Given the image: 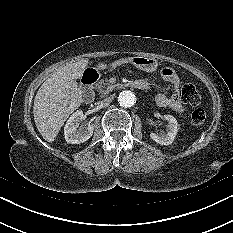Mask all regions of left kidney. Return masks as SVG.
<instances>
[{
    "label": "left kidney",
    "instance_id": "1",
    "mask_svg": "<svg viewBox=\"0 0 233 233\" xmlns=\"http://www.w3.org/2000/svg\"><path fill=\"white\" fill-rule=\"evenodd\" d=\"M163 119L168 122L167 133L156 134L152 132L150 134V138L161 145H170L174 141L177 134L178 123L175 117L172 115H164Z\"/></svg>",
    "mask_w": 233,
    "mask_h": 233
}]
</instances>
